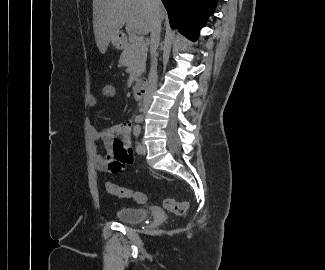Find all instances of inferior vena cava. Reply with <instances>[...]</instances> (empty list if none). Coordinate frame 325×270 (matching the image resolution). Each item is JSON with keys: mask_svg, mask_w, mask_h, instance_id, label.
I'll use <instances>...</instances> for the list:
<instances>
[{"mask_svg": "<svg viewBox=\"0 0 325 270\" xmlns=\"http://www.w3.org/2000/svg\"><path fill=\"white\" fill-rule=\"evenodd\" d=\"M151 6L154 8V20L151 29L150 36V49H151V67L149 72V80L145 90L143 98V112L145 113L151 102L153 94L157 87V59H156V49L160 41L161 33V20L156 12V8L161 5V0H148Z\"/></svg>", "mask_w": 325, "mask_h": 270, "instance_id": "obj_1", "label": "inferior vena cava"}]
</instances>
